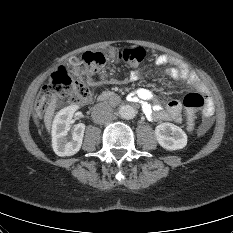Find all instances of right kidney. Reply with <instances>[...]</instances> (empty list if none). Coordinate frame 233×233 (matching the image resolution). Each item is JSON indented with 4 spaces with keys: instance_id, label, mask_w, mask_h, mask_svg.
Returning <instances> with one entry per match:
<instances>
[{
    "instance_id": "1",
    "label": "right kidney",
    "mask_w": 233,
    "mask_h": 233,
    "mask_svg": "<svg viewBox=\"0 0 233 233\" xmlns=\"http://www.w3.org/2000/svg\"><path fill=\"white\" fill-rule=\"evenodd\" d=\"M75 111V106L65 107L57 113L54 119L52 126V146L58 156H72L82 146L85 124L79 123L75 125L71 140L67 137L68 131L70 130V121Z\"/></svg>"
}]
</instances>
